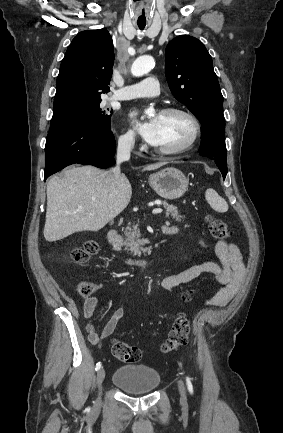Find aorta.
Here are the masks:
<instances>
[{
	"mask_svg": "<svg viewBox=\"0 0 283 433\" xmlns=\"http://www.w3.org/2000/svg\"><path fill=\"white\" fill-rule=\"evenodd\" d=\"M154 65H155V61L152 56L149 55L141 56L137 58L132 64L131 73L135 77H141L147 74L148 72H150V70L154 67ZM152 112H153L152 109H148V111H146V114L150 116Z\"/></svg>",
	"mask_w": 283,
	"mask_h": 433,
	"instance_id": "1",
	"label": "aorta"
}]
</instances>
